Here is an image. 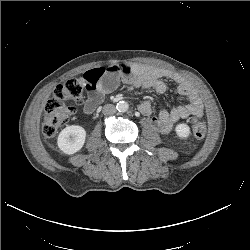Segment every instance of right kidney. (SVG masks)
<instances>
[{
    "mask_svg": "<svg viewBox=\"0 0 250 250\" xmlns=\"http://www.w3.org/2000/svg\"><path fill=\"white\" fill-rule=\"evenodd\" d=\"M85 139V129L79 125H71L60 132L57 144L63 153L71 155L83 147Z\"/></svg>",
    "mask_w": 250,
    "mask_h": 250,
    "instance_id": "1",
    "label": "right kidney"
}]
</instances>
